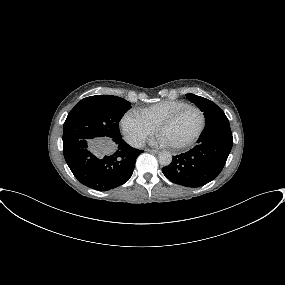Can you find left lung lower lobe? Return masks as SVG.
<instances>
[{
  "label": "left lung lower lobe",
  "instance_id": "obj_1",
  "mask_svg": "<svg viewBox=\"0 0 285 285\" xmlns=\"http://www.w3.org/2000/svg\"><path fill=\"white\" fill-rule=\"evenodd\" d=\"M232 144L228 119L211 121L206 124L198 145L174 156L162 172L173 183L186 187L203 186L220 174Z\"/></svg>",
  "mask_w": 285,
  "mask_h": 285
}]
</instances>
